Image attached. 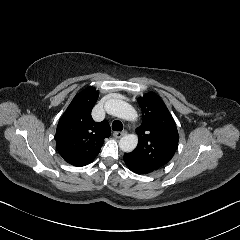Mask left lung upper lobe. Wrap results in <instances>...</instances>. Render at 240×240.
<instances>
[{"instance_id": "1", "label": "left lung upper lobe", "mask_w": 240, "mask_h": 240, "mask_svg": "<svg viewBox=\"0 0 240 240\" xmlns=\"http://www.w3.org/2000/svg\"><path fill=\"white\" fill-rule=\"evenodd\" d=\"M143 121L136 129L138 145L124 154V161L132 169L147 172L167 164L173 157L179 140L176 124L162 99L154 92L138 98Z\"/></svg>"}]
</instances>
